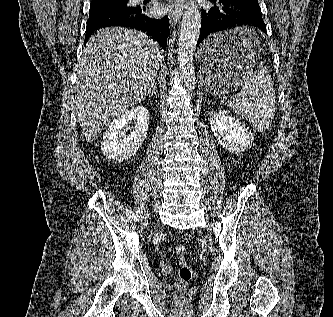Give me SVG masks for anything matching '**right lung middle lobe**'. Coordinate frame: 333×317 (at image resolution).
I'll use <instances>...</instances> for the list:
<instances>
[{
  "label": "right lung middle lobe",
  "mask_w": 333,
  "mask_h": 317,
  "mask_svg": "<svg viewBox=\"0 0 333 317\" xmlns=\"http://www.w3.org/2000/svg\"><path fill=\"white\" fill-rule=\"evenodd\" d=\"M108 6L126 7L128 5H127V0H92L90 4V9L92 10Z\"/></svg>",
  "instance_id": "obj_1"
}]
</instances>
